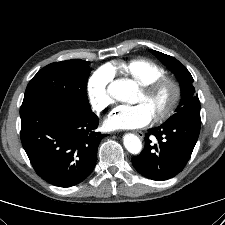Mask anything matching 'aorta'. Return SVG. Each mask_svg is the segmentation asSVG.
I'll return each instance as SVG.
<instances>
[{"label":"aorta","mask_w":225,"mask_h":225,"mask_svg":"<svg viewBox=\"0 0 225 225\" xmlns=\"http://www.w3.org/2000/svg\"><path fill=\"white\" fill-rule=\"evenodd\" d=\"M136 90L137 85L128 79H118L109 85L110 94L122 102H130ZM123 143L127 151L131 154H139L142 150V143L134 134H126L123 137Z\"/></svg>","instance_id":"762f6f07"}]
</instances>
